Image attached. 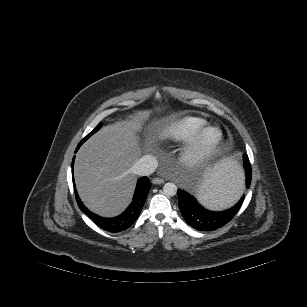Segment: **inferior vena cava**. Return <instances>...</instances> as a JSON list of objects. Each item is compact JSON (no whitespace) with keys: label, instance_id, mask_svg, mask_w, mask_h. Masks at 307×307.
I'll use <instances>...</instances> for the list:
<instances>
[{"label":"inferior vena cava","instance_id":"602c4592","mask_svg":"<svg viewBox=\"0 0 307 307\" xmlns=\"http://www.w3.org/2000/svg\"><path fill=\"white\" fill-rule=\"evenodd\" d=\"M158 167V161L153 155H144L132 167V171L139 176H148Z\"/></svg>","mask_w":307,"mask_h":307}]
</instances>
